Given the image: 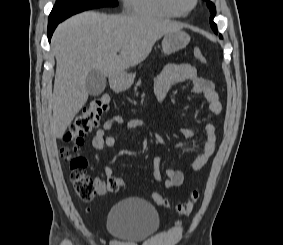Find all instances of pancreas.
Listing matches in <instances>:
<instances>
[{
	"instance_id": "pancreas-1",
	"label": "pancreas",
	"mask_w": 283,
	"mask_h": 245,
	"mask_svg": "<svg viewBox=\"0 0 283 245\" xmlns=\"http://www.w3.org/2000/svg\"><path fill=\"white\" fill-rule=\"evenodd\" d=\"M140 83H141V82L139 81L137 84L140 85Z\"/></svg>"
}]
</instances>
